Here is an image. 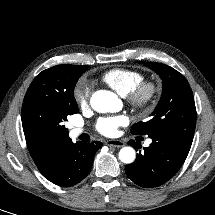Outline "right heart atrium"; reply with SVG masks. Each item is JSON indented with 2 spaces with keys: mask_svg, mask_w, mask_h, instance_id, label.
<instances>
[{
  "mask_svg": "<svg viewBox=\"0 0 215 215\" xmlns=\"http://www.w3.org/2000/svg\"><path fill=\"white\" fill-rule=\"evenodd\" d=\"M91 90L92 84L89 81L81 80L77 83L74 89V99L79 106L84 107L88 104Z\"/></svg>",
  "mask_w": 215,
  "mask_h": 215,
  "instance_id": "d8ad5b80",
  "label": "right heart atrium"
}]
</instances>
